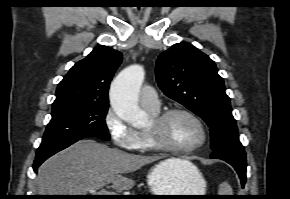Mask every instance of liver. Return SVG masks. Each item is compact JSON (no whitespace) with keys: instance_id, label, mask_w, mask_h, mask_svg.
I'll return each instance as SVG.
<instances>
[{"instance_id":"liver-1","label":"liver","mask_w":290,"mask_h":199,"mask_svg":"<svg viewBox=\"0 0 290 199\" xmlns=\"http://www.w3.org/2000/svg\"><path fill=\"white\" fill-rule=\"evenodd\" d=\"M158 159V156L130 154L92 139H83L40 166L38 192L39 195H89L90 190L96 191L109 183L117 191L129 190L135 181L124 174ZM163 162L171 168L191 165V162L178 158Z\"/></svg>"}]
</instances>
